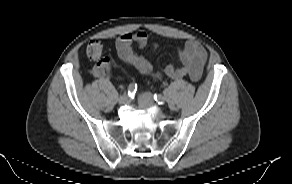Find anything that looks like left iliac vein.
<instances>
[{
    "label": "left iliac vein",
    "mask_w": 292,
    "mask_h": 184,
    "mask_svg": "<svg viewBox=\"0 0 292 184\" xmlns=\"http://www.w3.org/2000/svg\"><path fill=\"white\" fill-rule=\"evenodd\" d=\"M138 101L141 106L143 107H155L156 104L154 102L153 95L150 92H144L139 95ZM158 117L159 118H165V114L161 111L158 112Z\"/></svg>",
    "instance_id": "4c4485c4"
}]
</instances>
